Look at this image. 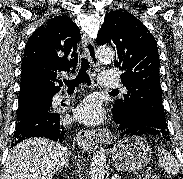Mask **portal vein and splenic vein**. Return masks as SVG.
<instances>
[{
    "label": "portal vein and splenic vein",
    "mask_w": 183,
    "mask_h": 179,
    "mask_svg": "<svg viewBox=\"0 0 183 179\" xmlns=\"http://www.w3.org/2000/svg\"><path fill=\"white\" fill-rule=\"evenodd\" d=\"M149 176H150V174H148V173L145 174V175H144V179H148Z\"/></svg>",
    "instance_id": "18ae733b"
}]
</instances>
